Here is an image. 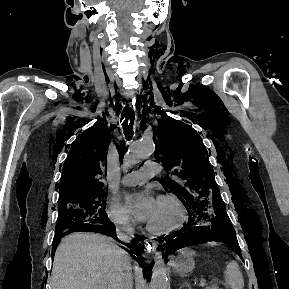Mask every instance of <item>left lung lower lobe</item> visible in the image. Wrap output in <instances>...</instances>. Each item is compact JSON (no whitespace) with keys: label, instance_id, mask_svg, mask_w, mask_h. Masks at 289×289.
Masks as SVG:
<instances>
[{"label":"left lung lower lobe","instance_id":"obj_1","mask_svg":"<svg viewBox=\"0 0 289 289\" xmlns=\"http://www.w3.org/2000/svg\"><path fill=\"white\" fill-rule=\"evenodd\" d=\"M204 209L202 205H198L196 207L197 214L193 213V215H191L189 212L188 222L181 230L167 235L164 238L168 254L183 247L193 245V240L196 237L207 236L232 244L237 249L239 256L242 257L237 238L233 232V227L226 214L224 202L214 205L215 216L213 218H210L211 215L204 212ZM222 232L226 234V237L219 235Z\"/></svg>","mask_w":289,"mask_h":289}]
</instances>
